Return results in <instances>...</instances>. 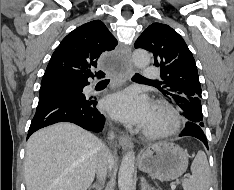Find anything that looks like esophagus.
Masks as SVG:
<instances>
[{
	"label": "esophagus",
	"instance_id": "esophagus-1",
	"mask_svg": "<svg viewBox=\"0 0 234 190\" xmlns=\"http://www.w3.org/2000/svg\"><path fill=\"white\" fill-rule=\"evenodd\" d=\"M125 57L127 58L129 65L127 66V70L129 73H132L133 67L131 65V49L130 47L125 48ZM119 145L122 149L127 150L133 148V141L128 135H120L119 136Z\"/></svg>",
	"mask_w": 234,
	"mask_h": 190
}]
</instances>
